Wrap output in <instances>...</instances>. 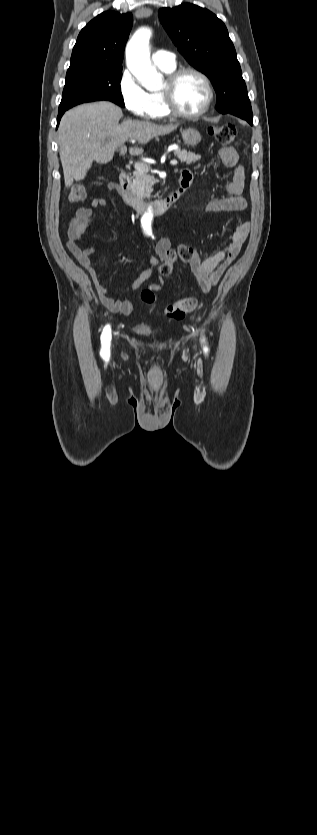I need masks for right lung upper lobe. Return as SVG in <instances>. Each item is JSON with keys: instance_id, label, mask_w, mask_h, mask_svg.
<instances>
[{"instance_id": "right-lung-upper-lobe-1", "label": "right lung upper lobe", "mask_w": 317, "mask_h": 835, "mask_svg": "<svg viewBox=\"0 0 317 835\" xmlns=\"http://www.w3.org/2000/svg\"><path fill=\"white\" fill-rule=\"evenodd\" d=\"M131 27V13H101L81 30L73 48L70 67L89 65L122 68L124 48Z\"/></svg>"}]
</instances>
